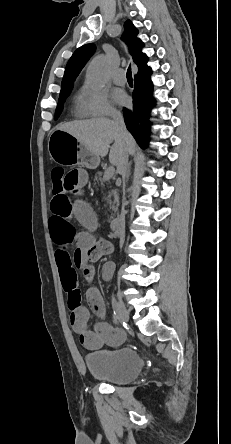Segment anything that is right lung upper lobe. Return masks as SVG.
<instances>
[{
	"instance_id": "obj_1",
	"label": "right lung upper lobe",
	"mask_w": 231,
	"mask_h": 444,
	"mask_svg": "<svg viewBox=\"0 0 231 444\" xmlns=\"http://www.w3.org/2000/svg\"><path fill=\"white\" fill-rule=\"evenodd\" d=\"M125 27V40L128 45L129 53L132 56L133 61L138 66V73L148 69L147 66V56L142 53L143 43L140 39L137 38L138 30L132 24L130 20H127L124 24ZM96 49V46L93 43L85 44L78 48L70 60L67 63L64 77L61 84V92L72 89L74 80L88 61V59L92 56Z\"/></svg>"
}]
</instances>
